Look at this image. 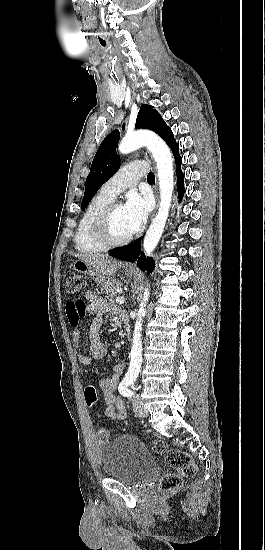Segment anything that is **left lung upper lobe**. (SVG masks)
Segmentation results:
<instances>
[{
  "instance_id": "obj_1",
  "label": "left lung upper lobe",
  "mask_w": 265,
  "mask_h": 550,
  "mask_svg": "<svg viewBox=\"0 0 265 550\" xmlns=\"http://www.w3.org/2000/svg\"><path fill=\"white\" fill-rule=\"evenodd\" d=\"M136 128L150 129L161 136L172 148L176 145L172 131L168 128L161 115L150 105L143 104L140 107L136 119ZM125 125H123V129ZM119 141V131L108 134L93 159L90 173L86 179L85 193L82 200V210L92 200L98 189L111 178L120 168V158L116 153Z\"/></svg>"
}]
</instances>
